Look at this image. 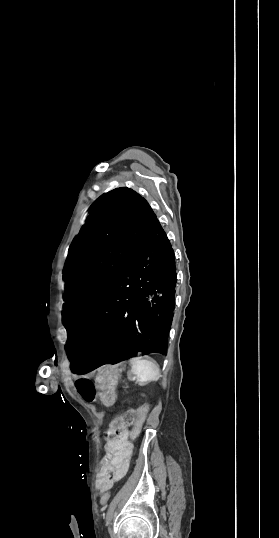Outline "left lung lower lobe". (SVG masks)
<instances>
[{"instance_id": "0a47b994", "label": "left lung lower lobe", "mask_w": 279, "mask_h": 538, "mask_svg": "<svg viewBox=\"0 0 279 538\" xmlns=\"http://www.w3.org/2000/svg\"><path fill=\"white\" fill-rule=\"evenodd\" d=\"M175 285L174 252L156 220L90 317L68 333L71 371L84 374L133 352L166 355Z\"/></svg>"}]
</instances>
